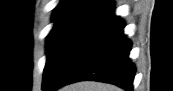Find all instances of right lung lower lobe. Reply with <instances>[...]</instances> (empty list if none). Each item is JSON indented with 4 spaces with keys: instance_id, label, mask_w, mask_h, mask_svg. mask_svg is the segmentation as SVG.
<instances>
[{
    "instance_id": "1",
    "label": "right lung lower lobe",
    "mask_w": 173,
    "mask_h": 91,
    "mask_svg": "<svg viewBox=\"0 0 173 91\" xmlns=\"http://www.w3.org/2000/svg\"><path fill=\"white\" fill-rule=\"evenodd\" d=\"M124 24L115 16L114 6L86 22L43 82V90L94 80L132 91L136 67L129 58L131 42L123 34Z\"/></svg>"
}]
</instances>
